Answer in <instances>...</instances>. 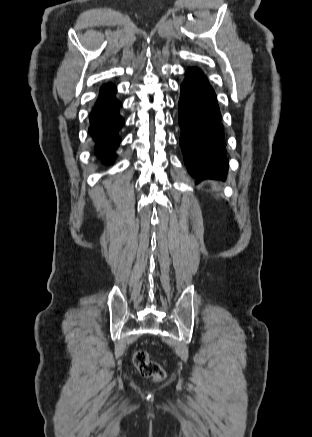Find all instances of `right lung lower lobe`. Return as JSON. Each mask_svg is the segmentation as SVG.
<instances>
[{
  "label": "right lung lower lobe",
  "instance_id": "right-lung-lower-lobe-1",
  "mask_svg": "<svg viewBox=\"0 0 312 437\" xmlns=\"http://www.w3.org/2000/svg\"><path fill=\"white\" fill-rule=\"evenodd\" d=\"M116 87L104 84L89 116V133L96 143V154L105 164L114 162V149L120 143L118 131L124 125L119 115L121 103L115 98Z\"/></svg>",
  "mask_w": 312,
  "mask_h": 437
}]
</instances>
